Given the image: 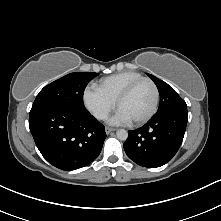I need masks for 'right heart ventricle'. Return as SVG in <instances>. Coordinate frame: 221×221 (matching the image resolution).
Wrapping results in <instances>:
<instances>
[{
    "label": "right heart ventricle",
    "instance_id": "1",
    "mask_svg": "<svg viewBox=\"0 0 221 221\" xmlns=\"http://www.w3.org/2000/svg\"><path fill=\"white\" fill-rule=\"evenodd\" d=\"M143 76L135 71H125L101 79L96 87L109 99L116 101L121 92Z\"/></svg>",
    "mask_w": 221,
    "mask_h": 221
}]
</instances>
